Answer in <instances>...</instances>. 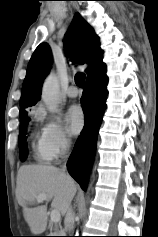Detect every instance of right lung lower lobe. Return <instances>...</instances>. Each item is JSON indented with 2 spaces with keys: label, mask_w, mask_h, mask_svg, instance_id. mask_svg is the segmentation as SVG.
I'll return each instance as SVG.
<instances>
[{
  "label": "right lung lower lobe",
  "mask_w": 158,
  "mask_h": 237,
  "mask_svg": "<svg viewBox=\"0 0 158 237\" xmlns=\"http://www.w3.org/2000/svg\"><path fill=\"white\" fill-rule=\"evenodd\" d=\"M107 81L105 69L91 76L86 80V87L81 98L85 124L67 166L69 173L83 190H86L95 154L98 130L106 108Z\"/></svg>",
  "instance_id": "right-lung-lower-lobe-1"
}]
</instances>
